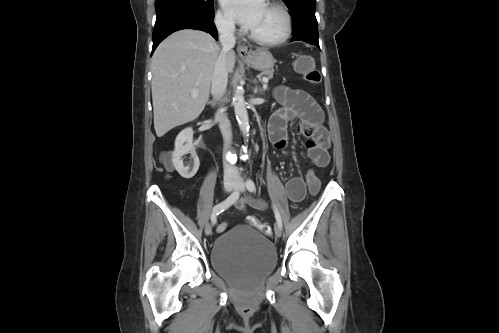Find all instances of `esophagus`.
Here are the masks:
<instances>
[{"label": "esophagus", "mask_w": 499, "mask_h": 333, "mask_svg": "<svg viewBox=\"0 0 499 333\" xmlns=\"http://www.w3.org/2000/svg\"><path fill=\"white\" fill-rule=\"evenodd\" d=\"M238 55L242 58L250 56L251 49L243 44H239L237 47Z\"/></svg>", "instance_id": "34e87169"}]
</instances>
